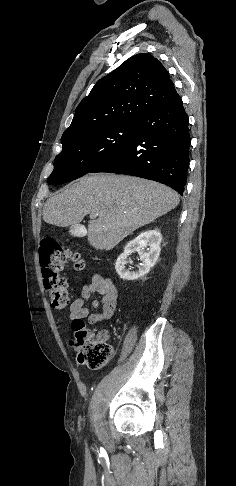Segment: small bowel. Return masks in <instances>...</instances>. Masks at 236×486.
<instances>
[{
	"instance_id": "obj_1",
	"label": "small bowel",
	"mask_w": 236,
	"mask_h": 486,
	"mask_svg": "<svg viewBox=\"0 0 236 486\" xmlns=\"http://www.w3.org/2000/svg\"><path fill=\"white\" fill-rule=\"evenodd\" d=\"M97 294L99 298L87 302ZM118 290L109 278L99 273H93L91 281L83 285L81 297L75 299L70 305V320L87 319L89 325L110 319L117 306ZM98 337L107 340L109 332L105 329L98 332Z\"/></svg>"
}]
</instances>
